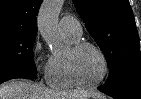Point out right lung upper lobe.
<instances>
[{
	"instance_id": "right-lung-upper-lobe-1",
	"label": "right lung upper lobe",
	"mask_w": 141,
	"mask_h": 99,
	"mask_svg": "<svg viewBox=\"0 0 141 99\" xmlns=\"http://www.w3.org/2000/svg\"><path fill=\"white\" fill-rule=\"evenodd\" d=\"M42 0H0V30L37 32V14Z\"/></svg>"
}]
</instances>
